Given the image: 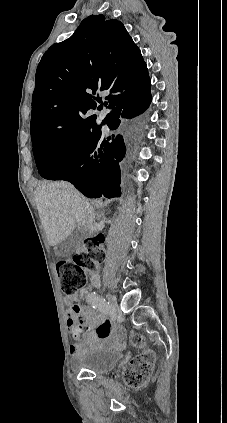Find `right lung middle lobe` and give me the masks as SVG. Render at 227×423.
Returning a JSON list of instances; mask_svg holds the SVG:
<instances>
[{"label":"right lung middle lobe","instance_id":"obj_1","mask_svg":"<svg viewBox=\"0 0 227 423\" xmlns=\"http://www.w3.org/2000/svg\"><path fill=\"white\" fill-rule=\"evenodd\" d=\"M94 143L91 136H48L32 142L39 174L45 179L63 180L77 168Z\"/></svg>","mask_w":227,"mask_h":423}]
</instances>
